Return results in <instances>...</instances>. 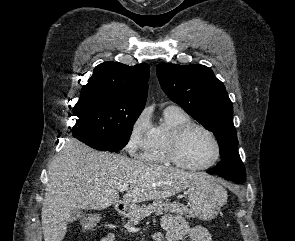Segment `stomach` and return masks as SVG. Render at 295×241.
Returning <instances> with one entry per match:
<instances>
[{
  "mask_svg": "<svg viewBox=\"0 0 295 241\" xmlns=\"http://www.w3.org/2000/svg\"><path fill=\"white\" fill-rule=\"evenodd\" d=\"M188 200L190 211L194 216L205 221L211 220L218 215L220 208L226 203L227 192L220 184L210 180L191 186ZM135 208L136 206L129 207L127 215H130Z\"/></svg>",
  "mask_w": 295,
  "mask_h": 241,
  "instance_id": "1",
  "label": "stomach"
}]
</instances>
